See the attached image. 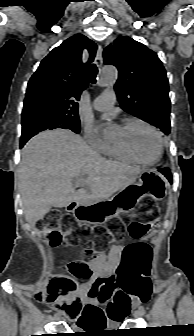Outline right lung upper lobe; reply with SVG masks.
Segmentation results:
<instances>
[{
  "label": "right lung upper lobe",
  "instance_id": "obj_1",
  "mask_svg": "<svg viewBox=\"0 0 194 336\" xmlns=\"http://www.w3.org/2000/svg\"><path fill=\"white\" fill-rule=\"evenodd\" d=\"M84 48L90 53V59L85 64L81 60ZM96 49V44L81 34L54 48L28 82L22 122L44 115L79 118L76 100L88 86L85 72L94 59ZM37 133L27 135L21 142H27Z\"/></svg>",
  "mask_w": 194,
  "mask_h": 336
}]
</instances>
